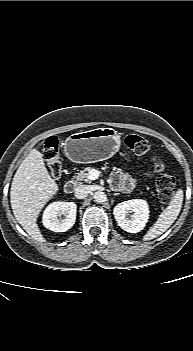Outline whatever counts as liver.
Wrapping results in <instances>:
<instances>
[{
	"mask_svg": "<svg viewBox=\"0 0 193 351\" xmlns=\"http://www.w3.org/2000/svg\"><path fill=\"white\" fill-rule=\"evenodd\" d=\"M57 191L58 185L50 177L42 154L37 147L33 148L13 177L10 202L16 220L36 241H45L38 227L37 218Z\"/></svg>",
	"mask_w": 193,
	"mask_h": 351,
	"instance_id": "obj_1",
	"label": "liver"
}]
</instances>
